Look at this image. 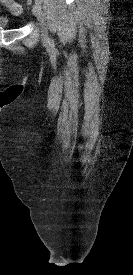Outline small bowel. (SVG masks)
Wrapping results in <instances>:
<instances>
[{"label":"small bowel","mask_w":133,"mask_h":275,"mask_svg":"<svg viewBox=\"0 0 133 275\" xmlns=\"http://www.w3.org/2000/svg\"><path fill=\"white\" fill-rule=\"evenodd\" d=\"M0 1H2L5 5L9 3V0H0Z\"/></svg>","instance_id":"obj_1"}]
</instances>
